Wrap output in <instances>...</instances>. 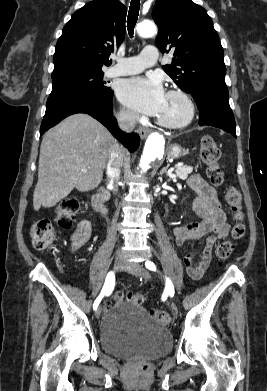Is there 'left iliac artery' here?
<instances>
[{
  "label": "left iliac artery",
  "mask_w": 267,
  "mask_h": 391,
  "mask_svg": "<svg viewBox=\"0 0 267 391\" xmlns=\"http://www.w3.org/2000/svg\"><path fill=\"white\" fill-rule=\"evenodd\" d=\"M146 267L149 270L156 271V266L154 265L153 262L147 261L146 262ZM165 291L172 297L174 295V287L172 282L169 279H166V288Z\"/></svg>",
  "instance_id": "44dca946"
}]
</instances>
